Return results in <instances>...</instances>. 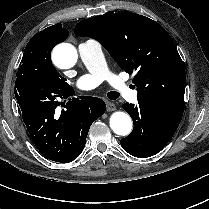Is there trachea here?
I'll return each mask as SVG.
<instances>
[{
    "mask_svg": "<svg viewBox=\"0 0 209 209\" xmlns=\"http://www.w3.org/2000/svg\"><path fill=\"white\" fill-rule=\"evenodd\" d=\"M107 96L109 99L115 100L119 97V94L117 92L111 91V92H108Z\"/></svg>",
    "mask_w": 209,
    "mask_h": 209,
    "instance_id": "1",
    "label": "trachea"
}]
</instances>
